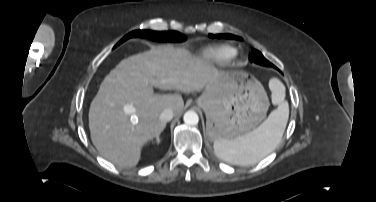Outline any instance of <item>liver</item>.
Listing matches in <instances>:
<instances>
[{
    "instance_id": "liver-1",
    "label": "liver",
    "mask_w": 376,
    "mask_h": 202,
    "mask_svg": "<svg viewBox=\"0 0 376 202\" xmlns=\"http://www.w3.org/2000/svg\"><path fill=\"white\" fill-rule=\"evenodd\" d=\"M219 77L207 60L171 45L123 59L104 78L91 102L89 129L94 146L119 167L136 166L142 146L166 127L161 113L170 108L180 115L184 107L181 95L154 94L153 88L200 92ZM128 106L134 111H128Z\"/></svg>"
}]
</instances>
